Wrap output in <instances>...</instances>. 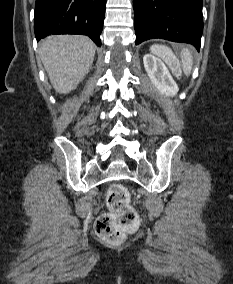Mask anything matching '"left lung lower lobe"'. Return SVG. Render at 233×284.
Masks as SVG:
<instances>
[{
    "instance_id": "obj_1",
    "label": "left lung lower lobe",
    "mask_w": 233,
    "mask_h": 284,
    "mask_svg": "<svg viewBox=\"0 0 233 284\" xmlns=\"http://www.w3.org/2000/svg\"><path fill=\"white\" fill-rule=\"evenodd\" d=\"M136 45L161 38L190 43L199 51L202 0H134Z\"/></svg>"
}]
</instances>
